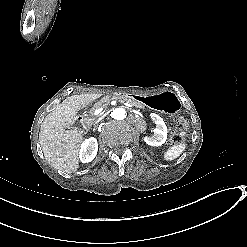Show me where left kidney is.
<instances>
[{"mask_svg":"<svg viewBox=\"0 0 247 247\" xmlns=\"http://www.w3.org/2000/svg\"><path fill=\"white\" fill-rule=\"evenodd\" d=\"M150 118L156 124V129L154 131V138H150L148 136L143 138V141L152 147L161 146L165 143L167 139V126L164 121L157 115L151 114Z\"/></svg>","mask_w":247,"mask_h":247,"instance_id":"left-kidney-1","label":"left kidney"}]
</instances>
